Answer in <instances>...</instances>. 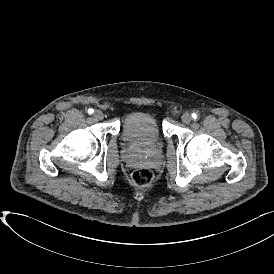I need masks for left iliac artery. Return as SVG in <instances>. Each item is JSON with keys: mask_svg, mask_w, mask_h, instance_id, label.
<instances>
[{"mask_svg": "<svg viewBox=\"0 0 274 274\" xmlns=\"http://www.w3.org/2000/svg\"><path fill=\"white\" fill-rule=\"evenodd\" d=\"M192 117H193V119H196L198 116H197L196 113H193V114H192Z\"/></svg>", "mask_w": 274, "mask_h": 274, "instance_id": "44dca946", "label": "left iliac artery"}]
</instances>
